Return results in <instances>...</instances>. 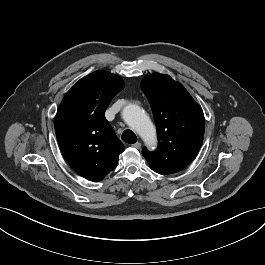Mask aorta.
<instances>
[{"label": "aorta", "instance_id": "obj_1", "mask_svg": "<svg viewBox=\"0 0 265 265\" xmlns=\"http://www.w3.org/2000/svg\"><path fill=\"white\" fill-rule=\"evenodd\" d=\"M122 117L146 144H151L156 140L154 125L139 106L134 104L127 105L122 111Z\"/></svg>", "mask_w": 265, "mask_h": 265}]
</instances>
